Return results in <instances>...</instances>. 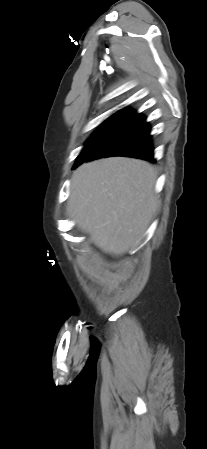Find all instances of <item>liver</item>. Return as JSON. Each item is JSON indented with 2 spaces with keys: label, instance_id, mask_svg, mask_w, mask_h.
Listing matches in <instances>:
<instances>
[{
  "label": "liver",
  "instance_id": "6515ba94",
  "mask_svg": "<svg viewBox=\"0 0 207 449\" xmlns=\"http://www.w3.org/2000/svg\"><path fill=\"white\" fill-rule=\"evenodd\" d=\"M156 172L139 159L85 163L72 175L67 214L102 251L119 256L141 238L155 213Z\"/></svg>",
  "mask_w": 207,
  "mask_h": 449
}]
</instances>
